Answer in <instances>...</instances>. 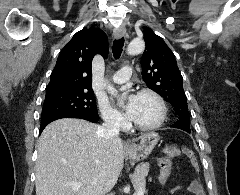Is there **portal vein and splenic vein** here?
<instances>
[{
    "label": "portal vein and splenic vein",
    "instance_id": "obj_1",
    "mask_svg": "<svg viewBox=\"0 0 240 195\" xmlns=\"http://www.w3.org/2000/svg\"><path fill=\"white\" fill-rule=\"evenodd\" d=\"M67 185H71L73 191H77V189H80L81 185H83V183H80V181H78V183H67ZM135 195H144V191L141 187H139L136 190Z\"/></svg>",
    "mask_w": 240,
    "mask_h": 195
}]
</instances>
